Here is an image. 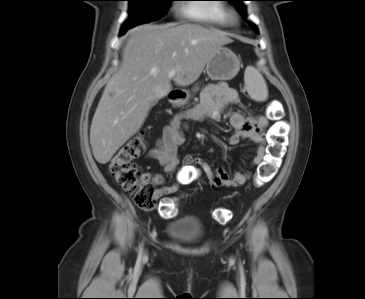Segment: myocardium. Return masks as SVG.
<instances>
[{
    "label": "myocardium",
    "mask_w": 365,
    "mask_h": 299,
    "mask_svg": "<svg viewBox=\"0 0 365 299\" xmlns=\"http://www.w3.org/2000/svg\"><path fill=\"white\" fill-rule=\"evenodd\" d=\"M238 22V16L235 12L230 11L227 15V23L230 25H235Z\"/></svg>",
    "instance_id": "myocardium-1"
}]
</instances>
